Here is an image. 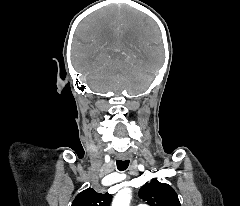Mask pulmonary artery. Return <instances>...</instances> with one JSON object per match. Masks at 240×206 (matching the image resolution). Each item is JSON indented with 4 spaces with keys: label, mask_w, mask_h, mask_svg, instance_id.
Returning <instances> with one entry per match:
<instances>
[{
    "label": "pulmonary artery",
    "mask_w": 240,
    "mask_h": 206,
    "mask_svg": "<svg viewBox=\"0 0 240 206\" xmlns=\"http://www.w3.org/2000/svg\"><path fill=\"white\" fill-rule=\"evenodd\" d=\"M138 206H147V205H145V204H139Z\"/></svg>",
    "instance_id": "1"
}]
</instances>
